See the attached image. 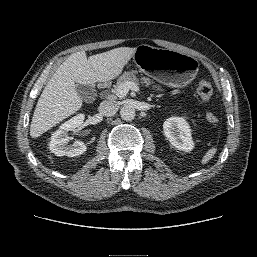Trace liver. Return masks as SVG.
I'll return each instance as SVG.
<instances>
[{
	"label": "liver",
	"instance_id": "1",
	"mask_svg": "<svg viewBox=\"0 0 257 257\" xmlns=\"http://www.w3.org/2000/svg\"><path fill=\"white\" fill-rule=\"evenodd\" d=\"M135 51L136 48L120 47L88 59L84 51L71 54L47 82L32 117L30 136H41L81 108L76 83L93 86L117 78Z\"/></svg>",
	"mask_w": 257,
	"mask_h": 257
}]
</instances>
